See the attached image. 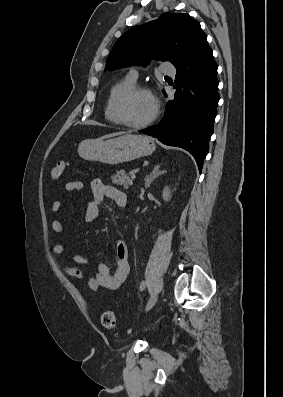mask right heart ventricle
<instances>
[{
  "instance_id": "e07e8e85",
  "label": "right heart ventricle",
  "mask_w": 283,
  "mask_h": 397,
  "mask_svg": "<svg viewBox=\"0 0 283 397\" xmlns=\"http://www.w3.org/2000/svg\"><path fill=\"white\" fill-rule=\"evenodd\" d=\"M133 86H135V81L131 80L129 77H125L118 80L110 87L105 102V117L109 122L120 124L115 111L116 101L122 93Z\"/></svg>"
}]
</instances>
